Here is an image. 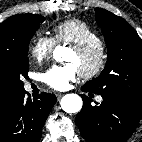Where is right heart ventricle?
I'll return each mask as SVG.
<instances>
[{
  "mask_svg": "<svg viewBox=\"0 0 142 142\" xmlns=\"http://www.w3.org/2000/svg\"><path fill=\"white\" fill-rule=\"evenodd\" d=\"M54 40L71 46L102 44L99 34L85 22L70 19L53 28Z\"/></svg>",
  "mask_w": 142,
  "mask_h": 142,
  "instance_id": "obj_1",
  "label": "right heart ventricle"
}]
</instances>
